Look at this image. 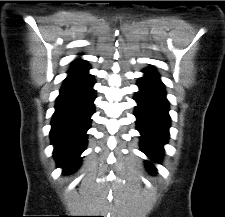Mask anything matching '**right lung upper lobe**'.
<instances>
[{
	"label": "right lung upper lobe",
	"mask_w": 225,
	"mask_h": 217,
	"mask_svg": "<svg viewBox=\"0 0 225 217\" xmlns=\"http://www.w3.org/2000/svg\"><path fill=\"white\" fill-rule=\"evenodd\" d=\"M89 68L90 66L85 60L82 59L74 60L68 72L69 75L67 76L65 81L92 77L90 74H88Z\"/></svg>",
	"instance_id": "cb5924a9"
}]
</instances>
